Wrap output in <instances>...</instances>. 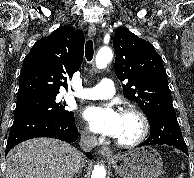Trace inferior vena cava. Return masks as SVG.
I'll return each instance as SVG.
<instances>
[{"mask_svg":"<svg viewBox=\"0 0 194 178\" xmlns=\"http://www.w3.org/2000/svg\"><path fill=\"white\" fill-rule=\"evenodd\" d=\"M98 144L97 138L89 131H82L80 146L84 151H91Z\"/></svg>","mask_w":194,"mask_h":178,"instance_id":"inferior-vena-cava-1","label":"inferior vena cava"}]
</instances>
